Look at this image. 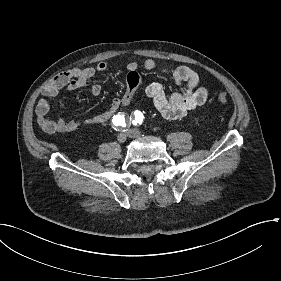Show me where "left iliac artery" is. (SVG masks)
<instances>
[{"label": "left iliac artery", "instance_id": "left-iliac-artery-1", "mask_svg": "<svg viewBox=\"0 0 281 281\" xmlns=\"http://www.w3.org/2000/svg\"><path fill=\"white\" fill-rule=\"evenodd\" d=\"M143 114L136 110L133 114V116L130 117V120H132L133 125H140L143 121Z\"/></svg>", "mask_w": 281, "mask_h": 281}]
</instances>
